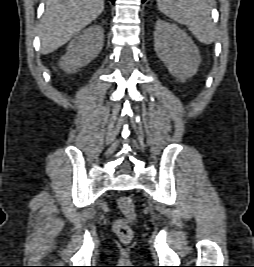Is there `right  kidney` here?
<instances>
[{"label": "right kidney", "instance_id": "obj_1", "mask_svg": "<svg viewBox=\"0 0 254 267\" xmlns=\"http://www.w3.org/2000/svg\"><path fill=\"white\" fill-rule=\"evenodd\" d=\"M103 28L90 26L79 33L67 46V52L61 57L59 66L67 73L76 72L98 56L103 47Z\"/></svg>", "mask_w": 254, "mask_h": 267}]
</instances>
